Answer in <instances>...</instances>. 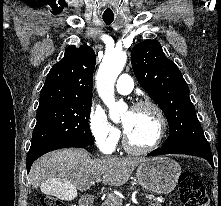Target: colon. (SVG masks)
I'll return each instance as SVG.
<instances>
[{
  "label": "colon",
  "instance_id": "5ec220e1",
  "mask_svg": "<svg viewBox=\"0 0 221 206\" xmlns=\"http://www.w3.org/2000/svg\"><path fill=\"white\" fill-rule=\"evenodd\" d=\"M181 201L184 206H209V197L202 181L193 172H183L179 177ZM41 206H66L61 200L45 195Z\"/></svg>",
  "mask_w": 221,
  "mask_h": 206
}]
</instances>
